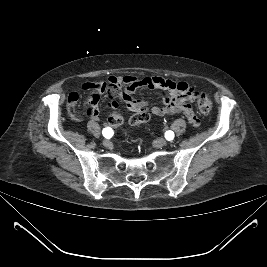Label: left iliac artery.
<instances>
[{
  "instance_id": "left-iliac-artery-1",
  "label": "left iliac artery",
  "mask_w": 267,
  "mask_h": 267,
  "mask_svg": "<svg viewBox=\"0 0 267 267\" xmlns=\"http://www.w3.org/2000/svg\"><path fill=\"white\" fill-rule=\"evenodd\" d=\"M165 137L167 140H172L174 138V133L172 131H167Z\"/></svg>"
}]
</instances>
